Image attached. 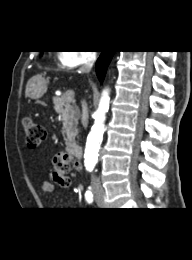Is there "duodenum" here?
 Here are the masks:
<instances>
[{"label":"duodenum","instance_id":"duodenum-1","mask_svg":"<svg viewBox=\"0 0 192 260\" xmlns=\"http://www.w3.org/2000/svg\"><path fill=\"white\" fill-rule=\"evenodd\" d=\"M68 153L70 155H72L73 157H75L76 159L80 160L82 158L83 155V151L80 145H78L77 143H71L68 146L67 149Z\"/></svg>","mask_w":192,"mask_h":260}]
</instances>
